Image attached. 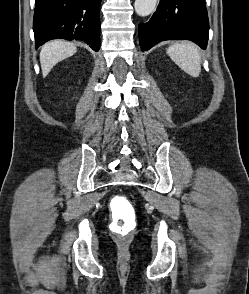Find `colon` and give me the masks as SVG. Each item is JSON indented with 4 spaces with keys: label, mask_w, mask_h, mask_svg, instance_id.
<instances>
[{
    "label": "colon",
    "mask_w": 249,
    "mask_h": 294,
    "mask_svg": "<svg viewBox=\"0 0 249 294\" xmlns=\"http://www.w3.org/2000/svg\"><path fill=\"white\" fill-rule=\"evenodd\" d=\"M114 211V218L110 224L111 230L122 237L128 236L135 228V223L129 213H127V199L116 196L111 201Z\"/></svg>",
    "instance_id": "colon-1"
}]
</instances>
